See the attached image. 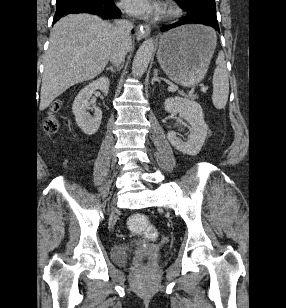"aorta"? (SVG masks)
Here are the masks:
<instances>
[{
    "instance_id": "obj_1",
    "label": "aorta",
    "mask_w": 286,
    "mask_h": 308,
    "mask_svg": "<svg viewBox=\"0 0 286 308\" xmlns=\"http://www.w3.org/2000/svg\"><path fill=\"white\" fill-rule=\"evenodd\" d=\"M155 46L152 38L145 40L136 52L132 64V74L136 77H141L151 60Z\"/></svg>"
}]
</instances>
